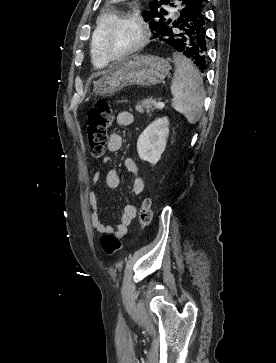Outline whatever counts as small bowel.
I'll list each match as a JSON object with an SVG mask.
<instances>
[{"label": "small bowel", "instance_id": "small-bowel-1", "mask_svg": "<svg viewBox=\"0 0 276 363\" xmlns=\"http://www.w3.org/2000/svg\"><path fill=\"white\" fill-rule=\"evenodd\" d=\"M116 121L121 126H131L134 123V116L129 111H121L117 114ZM123 144L122 136L118 133H112L108 137L107 148L110 152H116L121 149ZM111 160L110 157L104 158V163ZM126 170L133 176L132 191L135 195H140L144 190V182L139 176L138 166L132 158H126L124 161ZM100 180V172L96 171L92 178L93 185ZM105 183L115 189L119 186V174L116 169H109L105 174ZM88 200L91 206V226L98 233L113 234L117 238H123L127 235L132 221L137 216V207L134 204H127L124 208L120 222L116 228L104 224L100 219L98 210V199L94 190H89Z\"/></svg>", "mask_w": 276, "mask_h": 363}]
</instances>
